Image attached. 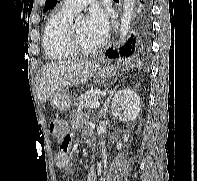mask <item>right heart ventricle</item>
Returning a JSON list of instances; mask_svg holds the SVG:
<instances>
[{"instance_id": "obj_1", "label": "right heart ventricle", "mask_w": 197, "mask_h": 181, "mask_svg": "<svg viewBox=\"0 0 197 181\" xmlns=\"http://www.w3.org/2000/svg\"><path fill=\"white\" fill-rule=\"evenodd\" d=\"M74 13L62 6L49 16L43 34V48L49 59L65 60L76 57L67 44L68 27Z\"/></svg>"}]
</instances>
